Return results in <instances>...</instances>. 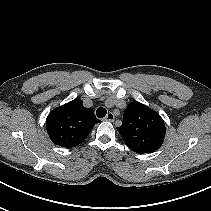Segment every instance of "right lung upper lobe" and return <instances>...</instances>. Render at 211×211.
I'll return each instance as SVG.
<instances>
[{
	"mask_svg": "<svg viewBox=\"0 0 211 211\" xmlns=\"http://www.w3.org/2000/svg\"><path fill=\"white\" fill-rule=\"evenodd\" d=\"M99 122L92 108H85L80 99H74L49 113L46 129L54 144L72 148L79 145Z\"/></svg>",
	"mask_w": 211,
	"mask_h": 211,
	"instance_id": "obj_1",
	"label": "right lung upper lobe"
}]
</instances>
